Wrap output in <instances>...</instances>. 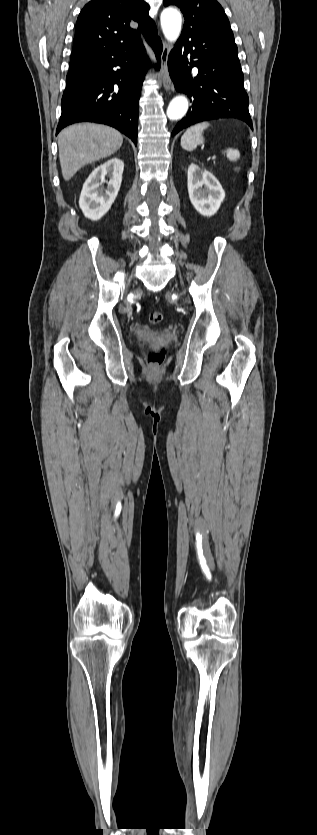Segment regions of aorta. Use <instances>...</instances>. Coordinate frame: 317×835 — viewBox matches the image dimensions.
Returning <instances> with one entry per match:
<instances>
[{
  "label": "aorta",
  "instance_id": "762f6f07",
  "mask_svg": "<svg viewBox=\"0 0 317 835\" xmlns=\"http://www.w3.org/2000/svg\"><path fill=\"white\" fill-rule=\"evenodd\" d=\"M160 21L165 38L170 42H175L181 33V13L174 8L164 9L161 13ZM188 107L189 103L187 98L185 96H177L170 102L167 108V117L170 120H180L187 113Z\"/></svg>",
  "mask_w": 317,
  "mask_h": 835
}]
</instances>
